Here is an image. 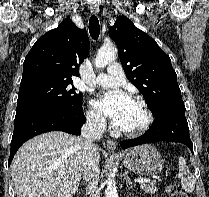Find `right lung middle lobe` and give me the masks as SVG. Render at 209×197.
Segmentation results:
<instances>
[{
    "label": "right lung middle lobe",
    "instance_id": "obj_1",
    "mask_svg": "<svg viewBox=\"0 0 209 197\" xmlns=\"http://www.w3.org/2000/svg\"><path fill=\"white\" fill-rule=\"evenodd\" d=\"M72 80H37L20 84L16 114L43 107H80L82 95Z\"/></svg>",
    "mask_w": 209,
    "mask_h": 197
}]
</instances>
